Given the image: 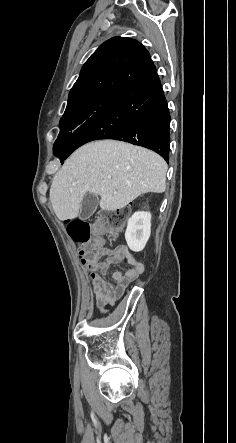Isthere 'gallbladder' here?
I'll return each mask as SVG.
<instances>
[{
    "mask_svg": "<svg viewBox=\"0 0 236 443\" xmlns=\"http://www.w3.org/2000/svg\"><path fill=\"white\" fill-rule=\"evenodd\" d=\"M99 204V197L93 193H86L80 204V218H89L96 210Z\"/></svg>",
    "mask_w": 236,
    "mask_h": 443,
    "instance_id": "gallbladder-1",
    "label": "gallbladder"
}]
</instances>
